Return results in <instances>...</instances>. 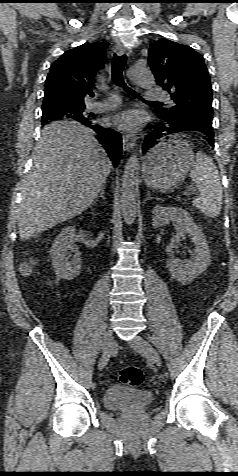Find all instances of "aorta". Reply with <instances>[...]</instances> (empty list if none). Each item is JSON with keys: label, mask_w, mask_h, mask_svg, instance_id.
I'll list each match as a JSON object with an SVG mask.
<instances>
[{"label": "aorta", "mask_w": 238, "mask_h": 476, "mask_svg": "<svg viewBox=\"0 0 238 476\" xmlns=\"http://www.w3.org/2000/svg\"><path fill=\"white\" fill-rule=\"evenodd\" d=\"M131 80L146 89L154 85L155 79L151 71L146 68L132 67L129 71ZM138 166V155L132 154L127 160L122 176L121 184V210L124 221L127 225H132L136 218V168Z\"/></svg>", "instance_id": "762f6f07"}]
</instances>
